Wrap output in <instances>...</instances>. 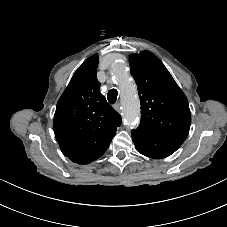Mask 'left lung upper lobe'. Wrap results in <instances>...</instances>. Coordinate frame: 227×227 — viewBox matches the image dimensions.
<instances>
[{
    "label": "left lung upper lobe",
    "instance_id": "1",
    "mask_svg": "<svg viewBox=\"0 0 227 227\" xmlns=\"http://www.w3.org/2000/svg\"><path fill=\"white\" fill-rule=\"evenodd\" d=\"M131 74L138 87L144 127L179 144L186 139L191 114L185 94L164 64L149 51L131 54Z\"/></svg>",
    "mask_w": 227,
    "mask_h": 227
}]
</instances>
